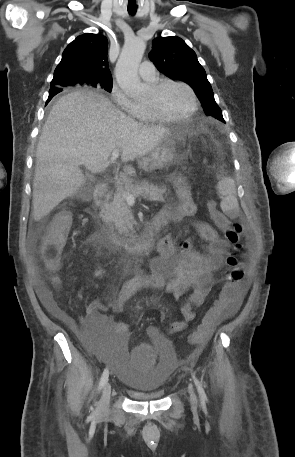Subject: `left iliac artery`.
Returning a JSON list of instances; mask_svg holds the SVG:
<instances>
[{"label": "left iliac artery", "instance_id": "left-iliac-artery-1", "mask_svg": "<svg viewBox=\"0 0 295 457\" xmlns=\"http://www.w3.org/2000/svg\"><path fill=\"white\" fill-rule=\"evenodd\" d=\"M192 377H193L194 383H195V385H196V387H197V391H198V393H199L200 399H201L202 401L207 400V396H206V394H205V391H204V389H203V387H202L201 382L197 379V377L195 376L194 373H192Z\"/></svg>", "mask_w": 295, "mask_h": 457}]
</instances>
